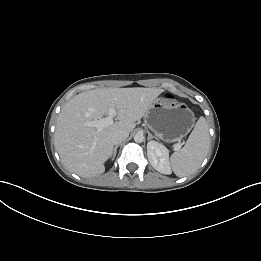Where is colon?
<instances>
[{
    "instance_id": "colon-1",
    "label": "colon",
    "mask_w": 261,
    "mask_h": 261,
    "mask_svg": "<svg viewBox=\"0 0 261 261\" xmlns=\"http://www.w3.org/2000/svg\"><path fill=\"white\" fill-rule=\"evenodd\" d=\"M166 97L169 98V99H172V96H171V95H167Z\"/></svg>"
}]
</instances>
